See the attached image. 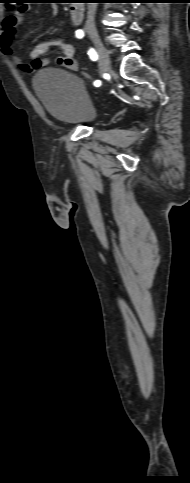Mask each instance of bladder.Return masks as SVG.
I'll list each match as a JSON object with an SVG mask.
<instances>
[{"label": "bladder", "instance_id": "1", "mask_svg": "<svg viewBox=\"0 0 190 483\" xmlns=\"http://www.w3.org/2000/svg\"><path fill=\"white\" fill-rule=\"evenodd\" d=\"M34 90L48 112L60 121L89 124L98 110L82 80L74 73L57 68H44L33 79Z\"/></svg>", "mask_w": 190, "mask_h": 483}]
</instances>
